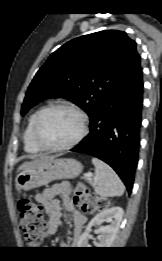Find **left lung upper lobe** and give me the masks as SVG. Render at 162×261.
<instances>
[{
	"label": "left lung upper lobe",
	"mask_w": 162,
	"mask_h": 261,
	"mask_svg": "<svg viewBox=\"0 0 162 261\" xmlns=\"http://www.w3.org/2000/svg\"><path fill=\"white\" fill-rule=\"evenodd\" d=\"M140 62L136 42L123 31L105 30L72 39L52 53L36 73L21 115L41 100L66 98L91 117Z\"/></svg>",
	"instance_id": "1"
}]
</instances>
